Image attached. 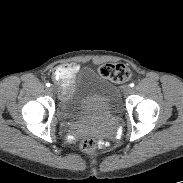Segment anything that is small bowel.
<instances>
[{
  "label": "small bowel",
  "mask_w": 183,
  "mask_h": 183,
  "mask_svg": "<svg viewBox=\"0 0 183 183\" xmlns=\"http://www.w3.org/2000/svg\"><path fill=\"white\" fill-rule=\"evenodd\" d=\"M57 71L70 72L72 74L71 82L61 87V94L67 95L72 89L73 79L75 75L79 72V66L75 63H69V64L62 65Z\"/></svg>",
  "instance_id": "c3829d8e"
}]
</instances>
